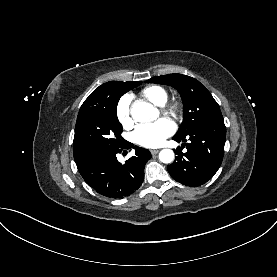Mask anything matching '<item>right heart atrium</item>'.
<instances>
[{
  "instance_id": "1",
  "label": "right heart atrium",
  "mask_w": 277,
  "mask_h": 277,
  "mask_svg": "<svg viewBox=\"0 0 277 277\" xmlns=\"http://www.w3.org/2000/svg\"><path fill=\"white\" fill-rule=\"evenodd\" d=\"M116 116L123 126H130L132 124L131 98L129 95L122 96L118 101Z\"/></svg>"
}]
</instances>
